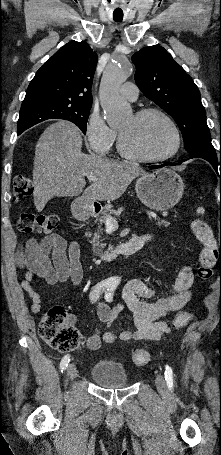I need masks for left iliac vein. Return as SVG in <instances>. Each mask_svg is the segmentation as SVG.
Masks as SVG:
<instances>
[{"instance_id": "4c4485c4", "label": "left iliac vein", "mask_w": 221, "mask_h": 455, "mask_svg": "<svg viewBox=\"0 0 221 455\" xmlns=\"http://www.w3.org/2000/svg\"><path fill=\"white\" fill-rule=\"evenodd\" d=\"M156 387L160 393H165L167 390L166 382L164 377L161 374L156 375L155 379Z\"/></svg>"}]
</instances>
